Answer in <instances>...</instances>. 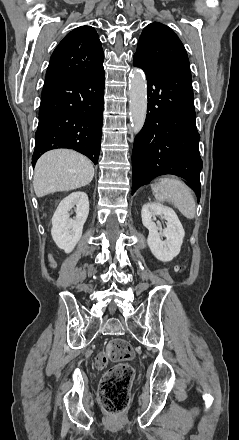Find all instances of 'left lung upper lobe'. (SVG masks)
<instances>
[{"label": "left lung upper lobe", "instance_id": "1", "mask_svg": "<svg viewBox=\"0 0 239 440\" xmlns=\"http://www.w3.org/2000/svg\"><path fill=\"white\" fill-rule=\"evenodd\" d=\"M134 56L148 64L186 68L190 65L187 52L177 35L159 22L144 28Z\"/></svg>", "mask_w": 239, "mask_h": 440}]
</instances>
